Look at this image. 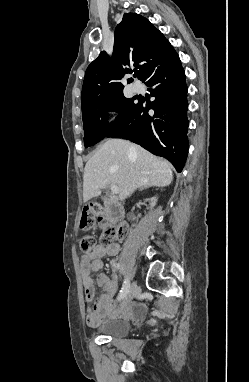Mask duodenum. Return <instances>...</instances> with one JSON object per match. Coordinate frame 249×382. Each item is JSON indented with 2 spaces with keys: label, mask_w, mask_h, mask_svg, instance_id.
<instances>
[{
  "label": "duodenum",
  "mask_w": 249,
  "mask_h": 382,
  "mask_svg": "<svg viewBox=\"0 0 249 382\" xmlns=\"http://www.w3.org/2000/svg\"><path fill=\"white\" fill-rule=\"evenodd\" d=\"M109 218L119 221L123 217L122 207L114 199L108 198L105 203Z\"/></svg>",
  "instance_id": "duodenum-1"
}]
</instances>
